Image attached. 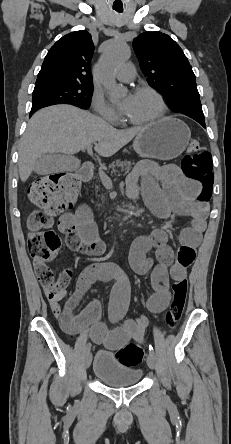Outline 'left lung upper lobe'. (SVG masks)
I'll return each mask as SVG.
<instances>
[{"label":"left lung upper lobe","instance_id":"1","mask_svg":"<svg viewBox=\"0 0 231 444\" xmlns=\"http://www.w3.org/2000/svg\"><path fill=\"white\" fill-rule=\"evenodd\" d=\"M133 48L147 82L164 94L171 109L204 119L196 78L180 46L167 34L155 31L136 37Z\"/></svg>","mask_w":231,"mask_h":444}]
</instances>
